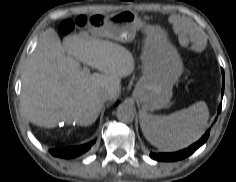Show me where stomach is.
<instances>
[{"label": "stomach", "mask_w": 236, "mask_h": 182, "mask_svg": "<svg viewBox=\"0 0 236 182\" xmlns=\"http://www.w3.org/2000/svg\"><path fill=\"white\" fill-rule=\"evenodd\" d=\"M103 22L105 26L97 33L122 42L133 40L136 31L144 29L147 37L141 57L143 75L135 86L133 98L143 111L165 107L171 100L174 83L183 72V63L163 29L147 25L132 11L108 14Z\"/></svg>", "instance_id": "1"}]
</instances>
